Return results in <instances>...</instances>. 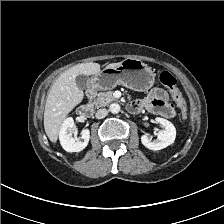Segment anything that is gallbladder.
<instances>
[{"mask_svg": "<svg viewBox=\"0 0 224 224\" xmlns=\"http://www.w3.org/2000/svg\"><path fill=\"white\" fill-rule=\"evenodd\" d=\"M75 81H76L77 87L80 90H85L87 88L89 79L86 75L81 74V75L76 76Z\"/></svg>", "mask_w": 224, "mask_h": 224, "instance_id": "gallbladder-1", "label": "gallbladder"}]
</instances>
